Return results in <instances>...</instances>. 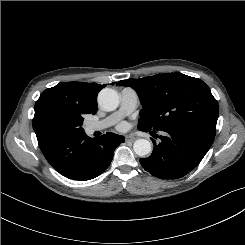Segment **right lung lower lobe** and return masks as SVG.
Returning <instances> with one entry per match:
<instances>
[{"mask_svg":"<svg viewBox=\"0 0 245 245\" xmlns=\"http://www.w3.org/2000/svg\"><path fill=\"white\" fill-rule=\"evenodd\" d=\"M123 142V136L111 132L95 139L85 133L67 136L57 141L45 158L69 179L90 180L108 168L115 148Z\"/></svg>","mask_w":245,"mask_h":245,"instance_id":"right-lung-lower-lobe-1","label":"right lung lower lobe"}]
</instances>
